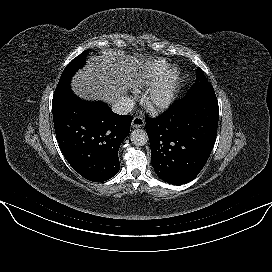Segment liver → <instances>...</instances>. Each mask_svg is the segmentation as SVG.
I'll list each match as a JSON object with an SVG mask.
<instances>
[{
  "mask_svg": "<svg viewBox=\"0 0 272 272\" xmlns=\"http://www.w3.org/2000/svg\"><path fill=\"white\" fill-rule=\"evenodd\" d=\"M143 59L108 49L90 56L83 70L72 80L73 92L84 99H100L108 104L124 97L127 91L141 83Z\"/></svg>",
  "mask_w": 272,
  "mask_h": 272,
  "instance_id": "liver-1",
  "label": "liver"
}]
</instances>
